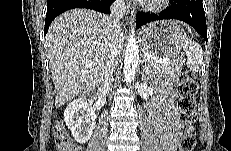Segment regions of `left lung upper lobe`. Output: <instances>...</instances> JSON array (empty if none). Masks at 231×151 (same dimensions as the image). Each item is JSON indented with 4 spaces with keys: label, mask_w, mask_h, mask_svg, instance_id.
Instances as JSON below:
<instances>
[{
    "label": "left lung upper lobe",
    "mask_w": 231,
    "mask_h": 151,
    "mask_svg": "<svg viewBox=\"0 0 231 151\" xmlns=\"http://www.w3.org/2000/svg\"><path fill=\"white\" fill-rule=\"evenodd\" d=\"M170 2H171V5L169 6V7H175V6H177V5H179L180 3V0H170Z\"/></svg>",
    "instance_id": "5c2ea615"
}]
</instances>
